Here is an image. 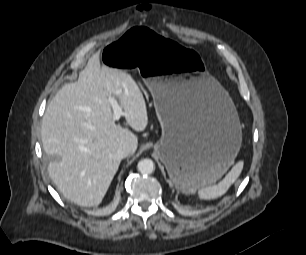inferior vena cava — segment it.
Returning a JSON list of instances; mask_svg holds the SVG:
<instances>
[{
  "label": "inferior vena cava",
  "mask_w": 306,
  "mask_h": 255,
  "mask_svg": "<svg viewBox=\"0 0 306 255\" xmlns=\"http://www.w3.org/2000/svg\"><path fill=\"white\" fill-rule=\"evenodd\" d=\"M132 153H133V148L128 144H124V145L120 146L117 150V155L121 159L126 158L127 156L131 155Z\"/></svg>",
  "instance_id": "602c4592"
}]
</instances>
